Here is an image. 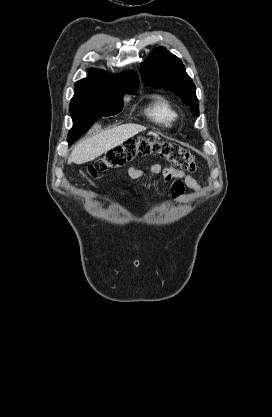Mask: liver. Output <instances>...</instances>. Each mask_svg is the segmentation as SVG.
I'll return each instance as SVG.
<instances>
[{
    "label": "liver",
    "mask_w": 272,
    "mask_h": 417,
    "mask_svg": "<svg viewBox=\"0 0 272 417\" xmlns=\"http://www.w3.org/2000/svg\"><path fill=\"white\" fill-rule=\"evenodd\" d=\"M146 128L137 124H124L102 131L79 143L72 151L68 163L83 164L117 147Z\"/></svg>",
    "instance_id": "liver-1"
}]
</instances>
